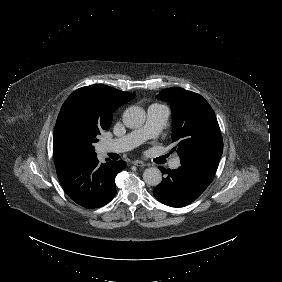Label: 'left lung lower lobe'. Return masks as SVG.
<instances>
[{
    "instance_id": "obj_1",
    "label": "left lung lower lobe",
    "mask_w": 282,
    "mask_h": 282,
    "mask_svg": "<svg viewBox=\"0 0 282 282\" xmlns=\"http://www.w3.org/2000/svg\"><path fill=\"white\" fill-rule=\"evenodd\" d=\"M221 156L196 154L181 159V166L175 170L159 167L167 174L154 189V196L171 207H183L197 199L214 178Z\"/></svg>"
}]
</instances>
